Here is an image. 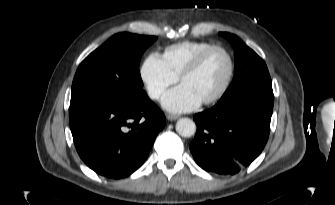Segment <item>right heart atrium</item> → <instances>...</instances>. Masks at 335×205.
Here are the masks:
<instances>
[{"label":"right heart atrium","mask_w":335,"mask_h":205,"mask_svg":"<svg viewBox=\"0 0 335 205\" xmlns=\"http://www.w3.org/2000/svg\"><path fill=\"white\" fill-rule=\"evenodd\" d=\"M139 75L148 96L158 100L166 90L178 81L176 76L165 64L162 57L150 53L143 61Z\"/></svg>","instance_id":"obj_1"}]
</instances>
